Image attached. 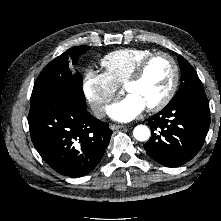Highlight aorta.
Listing matches in <instances>:
<instances>
[{
	"label": "aorta",
	"instance_id": "1",
	"mask_svg": "<svg viewBox=\"0 0 221 221\" xmlns=\"http://www.w3.org/2000/svg\"><path fill=\"white\" fill-rule=\"evenodd\" d=\"M134 138L138 141H147L150 138V129L146 125H137L133 130Z\"/></svg>",
	"mask_w": 221,
	"mask_h": 221
}]
</instances>
